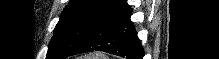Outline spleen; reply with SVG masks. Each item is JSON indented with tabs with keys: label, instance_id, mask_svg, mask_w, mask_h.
<instances>
[{
	"label": "spleen",
	"instance_id": "1",
	"mask_svg": "<svg viewBox=\"0 0 219 59\" xmlns=\"http://www.w3.org/2000/svg\"><path fill=\"white\" fill-rule=\"evenodd\" d=\"M102 58L105 59V57H103L102 55L96 54L95 56H92L89 59H102Z\"/></svg>",
	"mask_w": 219,
	"mask_h": 59
}]
</instances>
